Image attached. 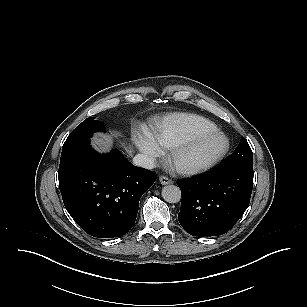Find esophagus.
<instances>
[{"label":"esophagus","instance_id":"esophagus-1","mask_svg":"<svg viewBox=\"0 0 307 307\" xmlns=\"http://www.w3.org/2000/svg\"><path fill=\"white\" fill-rule=\"evenodd\" d=\"M159 181H160V183H161L162 185H168V184H172V183H173V181H172L171 179H169L168 177L163 176V175H161V176L159 177Z\"/></svg>","mask_w":307,"mask_h":307}]
</instances>
